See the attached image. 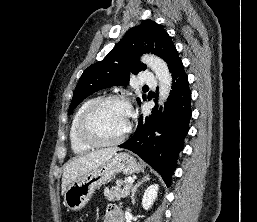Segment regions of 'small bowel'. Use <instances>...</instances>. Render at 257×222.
<instances>
[{"instance_id": "small-bowel-1", "label": "small bowel", "mask_w": 257, "mask_h": 222, "mask_svg": "<svg viewBox=\"0 0 257 222\" xmlns=\"http://www.w3.org/2000/svg\"><path fill=\"white\" fill-rule=\"evenodd\" d=\"M106 222H122L121 211L114 205H109L105 212Z\"/></svg>"}]
</instances>
